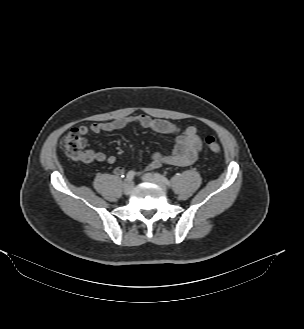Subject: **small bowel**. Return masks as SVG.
Masks as SVG:
<instances>
[{"label": "small bowel", "mask_w": 304, "mask_h": 329, "mask_svg": "<svg viewBox=\"0 0 304 329\" xmlns=\"http://www.w3.org/2000/svg\"><path fill=\"white\" fill-rule=\"evenodd\" d=\"M136 124L140 127L150 129L152 131L169 134L175 136V145L171 154L163 155L161 153H153L151 161L147 166V170H154L163 164L186 166L194 163L202 149V141L197 133V129L193 126L181 129V127L171 121L152 118L145 114L135 116H127L115 119L109 122H94L90 125H81L79 127L82 135L89 133L114 132L123 130L126 127ZM84 163L93 161L107 162L114 164L116 157L114 155H106L103 152L86 150L81 158ZM117 174L123 173L121 168L116 169Z\"/></svg>", "instance_id": "1"}]
</instances>
